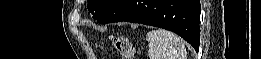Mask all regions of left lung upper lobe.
<instances>
[{
  "label": "left lung upper lobe",
  "instance_id": "obj_1",
  "mask_svg": "<svg viewBox=\"0 0 261 59\" xmlns=\"http://www.w3.org/2000/svg\"><path fill=\"white\" fill-rule=\"evenodd\" d=\"M119 0H88V10L97 21L107 13Z\"/></svg>",
  "mask_w": 261,
  "mask_h": 59
}]
</instances>
